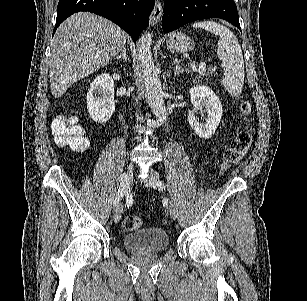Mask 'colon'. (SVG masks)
I'll return each mask as SVG.
<instances>
[{"instance_id":"1","label":"colon","mask_w":307,"mask_h":301,"mask_svg":"<svg viewBox=\"0 0 307 301\" xmlns=\"http://www.w3.org/2000/svg\"><path fill=\"white\" fill-rule=\"evenodd\" d=\"M242 111L246 114L250 112L249 103H243ZM52 132L59 146H68L80 150L85 149L89 144L83 128L74 117L60 116L53 120ZM252 141V132L249 128L239 132L224 153L222 170L237 164L249 151ZM142 225L143 220L137 215H129L124 220V227L129 231L137 230Z\"/></svg>"}]
</instances>
